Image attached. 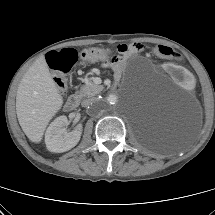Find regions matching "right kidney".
I'll return each mask as SVG.
<instances>
[{"label": "right kidney", "instance_id": "right-kidney-1", "mask_svg": "<svg viewBox=\"0 0 215 215\" xmlns=\"http://www.w3.org/2000/svg\"><path fill=\"white\" fill-rule=\"evenodd\" d=\"M68 119L66 116L56 118L45 133L46 147L50 152H66L77 145L82 134V125L71 132H67Z\"/></svg>", "mask_w": 215, "mask_h": 215}]
</instances>
